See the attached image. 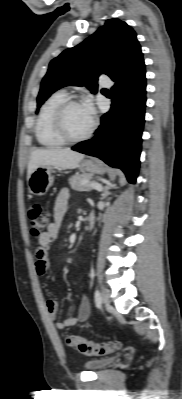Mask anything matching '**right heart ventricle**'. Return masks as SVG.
<instances>
[{"instance_id": "right-heart-ventricle-1", "label": "right heart ventricle", "mask_w": 182, "mask_h": 399, "mask_svg": "<svg viewBox=\"0 0 182 399\" xmlns=\"http://www.w3.org/2000/svg\"><path fill=\"white\" fill-rule=\"evenodd\" d=\"M68 99V94L63 91H57L50 95L42 105L35 126L37 141L45 147H58L65 142L57 135L54 129V113L58 106Z\"/></svg>"}]
</instances>
